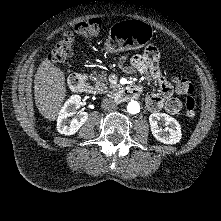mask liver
<instances>
[{"mask_svg":"<svg viewBox=\"0 0 221 221\" xmlns=\"http://www.w3.org/2000/svg\"><path fill=\"white\" fill-rule=\"evenodd\" d=\"M65 97L64 72L45 59L34 78V99L39 112L49 121L56 120Z\"/></svg>","mask_w":221,"mask_h":221,"instance_id":"obj_1","label":"liver"}]
</instances>
